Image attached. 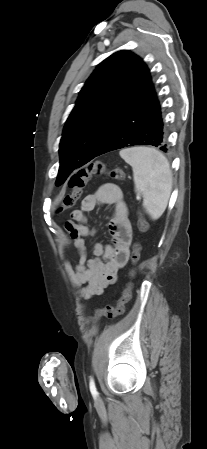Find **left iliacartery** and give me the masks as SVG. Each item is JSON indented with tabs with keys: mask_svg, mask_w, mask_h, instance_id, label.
Segmentation results:
<instances>
[{
	"mask_svg": "<svg viewBox=\"0 0 207 449\" xmlns=\"http://www.w3.org/2000/svg\"><path fill=\"white\" fill-rule=\"evenodd\" d=\"M89 388H90L91 394L93 396H97L98 392H97V389H96L95 382H94L93 378L90 379Z\"/></svg>",
	"mask_w": 207,
	"mask_h": 449,
	"instance_id": "obj_1",
	"label": "left iliac artery"
}]
</instances>
